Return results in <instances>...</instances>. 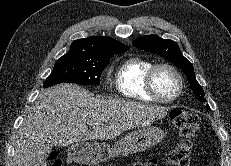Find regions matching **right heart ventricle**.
Here are the masks:
<instances>
[{"label":"right heart ventricle","mask_w":231,"mask_h":166,"mask_svg":"<svg viewBox=\"0 0 231 166\" xmlns=\"http://www.w3.org/2000/svg\"><path fill=\"white\" fill-rule=\"evenodd\" d=\"M153 62L141 57L125 60L117 69L115 84L118 92L125 98L153 101L145 88V78Z\"/></svg>","instance_id":"1"}]
</instances>
